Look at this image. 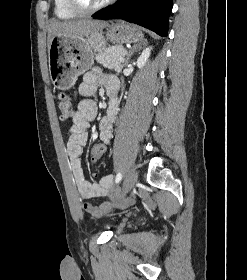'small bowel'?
<instances>
[{"instance_id":"c3829d8e","label":"small bowel","mask_w":247,"mask_h":280,"mask_svg":"<svg viewBox=\"0 0 247 280\" xmlns=\"http://www.w3.org/2000/svg\"><path fill=\"white\" fill-rule=\"evenodd\" d=\"M99 86L105 87L112 95L115 93L118 83L115 78L104 73L100 69H93L87 72L82 83L79 85V93L82 98L79 100L75 113L72 117V124L67 128V155L70 159L72 175L80 197L84 201L100 197H118L119 192L113 188V176L106 175L98 182H90L84 177L81 154L82 149L88 141L87 129L98 112L97 104L93 96ZM119 110L117 99L113 96L107 114L101 118L98 127V136L102 143L107 146L112 141V130ZM115 202V201H114ZM133 202L132 199L118 201L119 207H126ZM113 203H103L100 206H93L85 203V210L94 217H99L112 209Z\"/></svg>"}]
</instances>
